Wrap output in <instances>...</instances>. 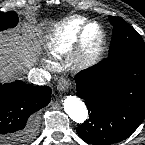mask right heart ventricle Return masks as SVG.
I'll use <instances>...</instances> for the list:
<instances>
[{"mask_svg": "<svg viewBox=\"0 0 145 145\" xmlns=\"http://www.w3.org/2000/svg\"><path fill=\"white\" fill-rule=\"evenodd\" d=\"M86 22L80 16L71 17L57 24L48 35L45 46L51 59H60L72 52L76 46L79 30Z\"/></svg>", "mask_w": 145, "mask_h": 145, "instance_id": "right-heart-ventricle-1", "label": "right heart ventricle"}]
</instances>
